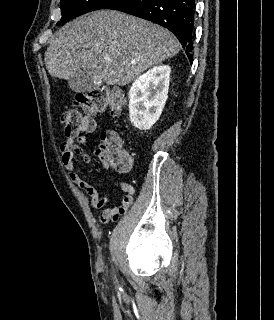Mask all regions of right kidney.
<instances>
[{
	"mask_svg": "<svg viewBox=\"0 0 274 320\" xmlns=\"http://www.w3.org/2000/svg\"><path fill=\"white\" fill-rule=\"evenodd\" d=\"M170 66H154L133 82L129 92V118L138 130H150L159 120L168 98Z\"/></svg>",
	"mask_w": 274,
	"mask_h": 320,
	"instance_id": "ca27d5eb",
	"label": "right kidney"
}]
</instances>
